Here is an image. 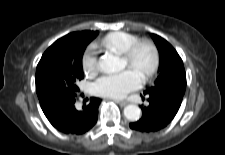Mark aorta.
Wrapping results in <instances>:
<instances>
[{"mask_svg": "<svg viewBox=\"0 0 225 155\" xmlns=\"http://www.w3.org/2000/svg\"><path fill=\"white\" fill-rule=\"evenodd\" d=\"M123 66L124 65L121 59L118 56L111 53L103 55L98 62L99 69L105 73H111L121 70ZM124 116L129 121L132 122L137 121L141 117V109L134 104L127 105L124 108Z\"/></svg>", "mask_w": 225, "mask_h": 155, "instance_id": "1", "label": "aorta"}]
</instances>
